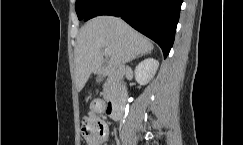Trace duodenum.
I'll use <instances>...</instances> for the list:
<instances>
[{
  "label": "duodenum",
  "mask_w": 243,
  "mask_h": 145,
  "mask_svg": "<svg viewBox=\"0 0 243 145\" xmlns=\"http://www.w3.org/2000/svg\"><path fill=\"white\" fill-rule=\"evenodd\" d=\"M101 73L109 74L113 77H119L122 75V71L114 68H107L100 70ZM126 98L125 94L111 97L106 104V113L114 120H120L123 116L125 108Z\"/></svg>",
  "instance_id": "410a0bca"
}]
</instances>
